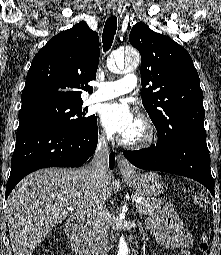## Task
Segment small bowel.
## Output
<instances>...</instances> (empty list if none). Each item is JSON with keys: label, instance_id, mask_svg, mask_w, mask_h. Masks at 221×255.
I'll list each match as a JSON object with an SVG mask.
<instances>
[{"label": "small bowel", "instance_id": "c3829d8e", "mask_svg": "<svg viewBox=\"0 0 221 255\" xmlns=\"http://www.w3.org/2000/svg\"><path fill=\"white\" fill-rule=\"evenodd\" d=\"M146 225L151 229L157 241L176 255H191L192 236L186 231L180 218L170 205H166L160 214L147 218Z\"/></svg>", "mask_w": 221, "mask_h": 255}]
</instances>
